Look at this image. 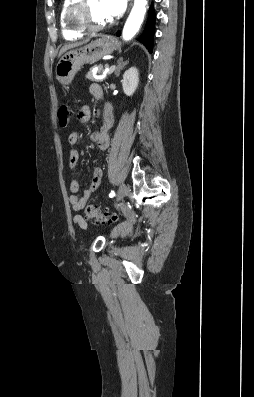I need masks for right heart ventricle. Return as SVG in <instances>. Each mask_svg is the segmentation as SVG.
Here are the masks:
<instances>
[{"instance_id": "obj_1", "label": "right heart ventricle", "mask_w": 254, "mask_h": 397, "mask_svg": "<svg viewBox=\"0 0 254 397\" xmlns=\"http://www.w3.org/2000/svg\"><path fill=\"white\" fill-rule=\"evenodd\" d=\"M77 0H64L61 5L59 14V26L61 35L65 40L73 41L83 36L84 32L76 31L72 29L66 20V15L69 7L74 4Z\"/></svg>"}]
</instances>
